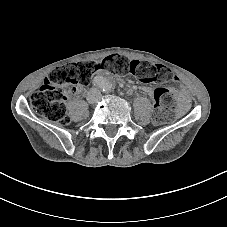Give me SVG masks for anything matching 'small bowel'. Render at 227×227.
<instances>
[{
    "mask_svg": "<svg viewBox=\"0 0 227 227\" xmlns=\"http://www.w3.org/2000/svg\"><path fill=\"white\" fill-rule=\"evenodd\" d=\"M98 72L101 73L103 71L102 70H98ZM175 80H178V78L176 76H175ZM142 90L145 93H147L148 95L154 97V91L150 87L145 86V87L142 88ZM78 91H79V89L76 90V92H78ZM179 101H180V105H181L180 106L181 107L180 110L186 108V106H187V96H186V94L184 92L180 94Z\"/></svg>",
    "mask_w": 227,
    "mask_h": 227,
    "instance_id": "1",
    "label": "small bowel"
}]
</instances>
